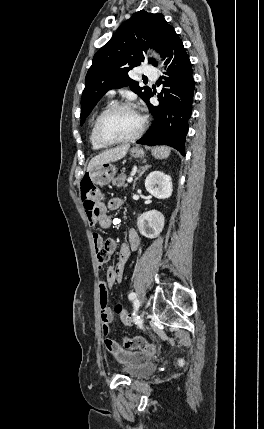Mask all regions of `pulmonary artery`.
<instances>
[{
    "mask_svg": "<svg viewBox=\"0 0 264 429\" xmlns=\"http://www.w3.org/2000/svg\"><path fill=\"white\" fill-rule=\"evenodd\" d=\"M142 73L146 77H148V78H150L152 80H155L157 78V70L153 66H151V65H144L143 69H142ZM109 94L113 95L114 92L110 91Z\"/></svg>",
    "mask_w": 264,
    "mask_h": 429,
    "instance_id": "1",
    "label": "pulmonary artery"
}]
</instances>
